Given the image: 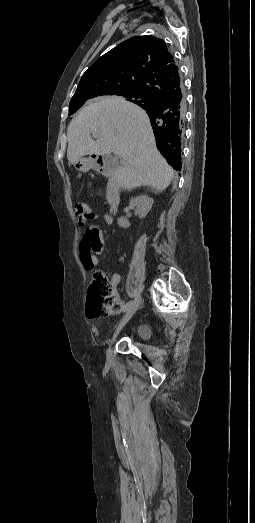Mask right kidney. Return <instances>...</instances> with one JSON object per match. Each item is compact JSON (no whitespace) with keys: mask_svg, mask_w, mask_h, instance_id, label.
I'll use <instances>...</instances> for the list:
<instances>
[{"mask_svg":"<svg viewBox=\"0 0 255 523\" xmlns=\"http://www.w3.org/2000/svg\"><path fill=\"white\" fill-rule=\"evenodd\" d=\"M129 206L130 208H136V214H138L139 218H145L153 206V200L152 198H148L146 194H142V196L132 198ZM118 226H121V228H129L130 222H128L126 218H119Z\"/></svg>","mask_w":255,"mask_h":523,"instance_id":"right-kidney-1","label":"right kidney"}]
</instances>
